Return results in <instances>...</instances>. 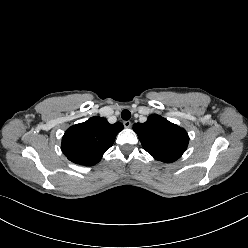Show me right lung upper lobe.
I'll list each match as a JSON object with an SVG mask.
<instances>
[{
    "label": "right lung upper lobe",
    "mask_w": 248,
    "mask_h": 248,
    "mask_svg": "<svg viewBox=\"0 0 248 248\" xmlns=\"http://www.w3.org/2000/svg\"><path fill=\"white\" fill-rule=\"evenodd\" d=\"M123 129L120 122L110 124L105 118L94 116L68 128L62 138V151L72 162L94 165L109 149L116 135Z\"/></svg>",
    "instance_id": "cb5924a9"
}]
</instances>
